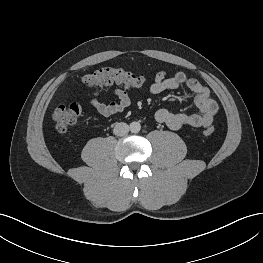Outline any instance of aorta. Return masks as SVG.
Listing matches in <instances>:
<instances>
[{
  "label": "aorta",
  "instance_id": "obj_1",
  "mask_svg": "<svg viewBox=\"0 0 263 263\" xmlns=\"http://www.w3.org/2000/svg\"><path fill=\"white\" fill-rule=\"evenodd\" d=\"M140 129H141V125H140V123L139 122H132L131 124H130V131L132 132V133H138L139 131H140Z\"/></svg>",
  "mask_w": 263,
  "mask_h": 263
}]
</instances>
